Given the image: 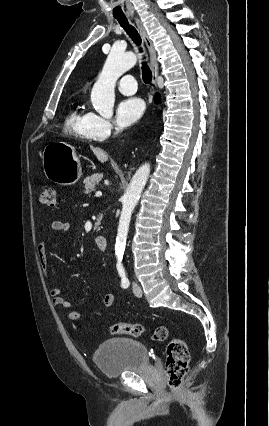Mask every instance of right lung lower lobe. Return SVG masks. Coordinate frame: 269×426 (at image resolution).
<instances>
[{
  "label": "right lung lower lobe",
  "mask_w": 269,
  "mask_h": 426,
  "mask_svg": "<svg viewBox=\"0 0 269 426\" xmlns=\"http://www.w3.org/2000/svg\"><path fill=\"white\" fill-rule=\"evenodd\" d=\"M159 99H160V97L157 95V96L155 97L156 102H159Z\"/></svg>",
  "instance_id": "98d812e1"
}]
</instances>
